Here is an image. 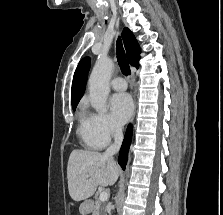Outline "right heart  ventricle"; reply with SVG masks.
<instances>
[{
  "instance_id": "e07e8e85",
  "label": "right heart ventricle",
  "mask_w": 223,
  "mask_h": 215,
  "mask_svg": "<svg viewBox=\"0 0 223 215\" xmlns=\"http://www.w3.org/2000/svg\"><path fill=\"white\" fill-rule=\"evenodd\" d=\"M88 113L84 108H81L78 113V134L89 149H101L105 143L101 142L91 131L87 120Z\"/></svg>"
}]
</instances>
